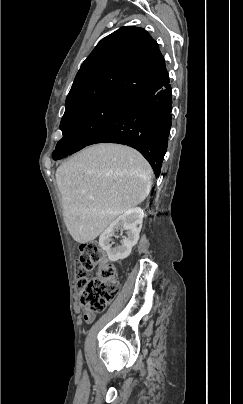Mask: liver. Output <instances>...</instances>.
Returning <instances> with one entry per match:
<instances>
[{
	"mask_svg": "<svg viewBox=\"0 0 243 404\" xmlns=\"http://www.w3.org/2000/svg\"><path fill=\"white\" fill-rule=\"evenodd\" d=\"M152 168L133 148L95 144L57 168L65 226L73 240H96L118 216L144 202Z\"/></svg>",
	"mask_w": 243,
	"mask_h": 404,
	"instance_id": "6515ba94",
	"label": "liver"
}]
</instances>
